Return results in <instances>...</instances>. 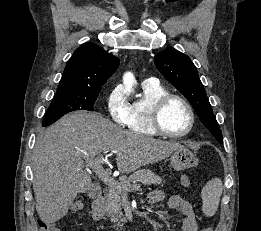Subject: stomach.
Masks as SVG:
<instances>
[{"label":"stomach","instance_id":"stomach-1","mask_svg":"<svg viewBox=\"0 0 261 231\" xmlns=\"http://www.w3.org/2000/svg\"><path fill=\"white\" fill-rule=\"evenodd\" d=\"M170 162L171 166L176 171H181L198 165L196 155L186 147L174 151L171 154Z\"/></svg>","mask_w":261,"mask_h":231}]
</instances>
